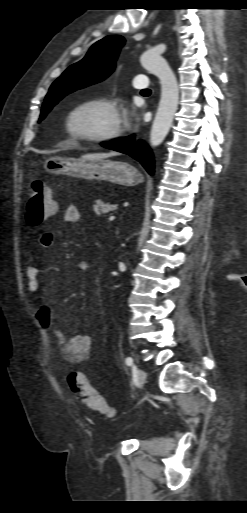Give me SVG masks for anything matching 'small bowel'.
Instances as JSON below:
<instances>
[{
    "mask_svg": "<svg viewBox=\"0 0 247 513\" xmlns=\"http://www.w3.org/2000/svg\"><path fill=\"white\" fill-rule=\"evenodd\" d=\"M81 219L79 209L75 205L66 207L63 213V220L67 223H78ZM39 244L42 248H47L54 241L52 231H43L39 238ZM77 268L84 270L86 264L77 263ZM41 269L38 265H31L27 269V290L31 294H37L41 291ZM39 323L50 331L56 339L58 353L62 360L69 363H80L87 360L91 353L92 337L90 335L66 334L55 322L56 309L50 306H43L35 313Z\"/></svg>",
    "mask_w": 247,
    "mask_h": 513,
    "instance_id": "c3829d8e",
    "label": "small bowel"
}]
</instances>
